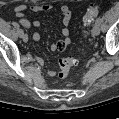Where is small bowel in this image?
I'll return each instance as SVG.
<instances>
[{
    "label": "small bowel",
    "instance_id": "obj_1",
    "mask_svg": "<svg viewBox=\"0 0 119 119\" xmlns=\"http://www.w3.org/2000/svg\"><path fill=\"white\" fill-rule=\"evenodd\" d=\"M53 9L52 4L43 3V4H20L16 7L15 13L16 16L19 18V23L25 27V28H31L34 27L35 29H39L41 26V23L38 20L33 21L32 23L24 18V13L26 11H33V12H48ZM61 13L63 15L62 19V34L65 37L63 40H60L57 43H54L51 45L52 51H62L64 50L69 44H70V38H69V25L71 23L72 19V13L70 8L67 5H62L60 7ZM33 40L35 42H38L40 40V33L38 31H35L33 34ZM37 63L40 65L43 64V60L41 58H36ZM49 76L53 77L55 76V71L51 70L48 72Z\"/></svg>",
    "mask_w": 119,
    "mask_h": 119
}]
</instances>
